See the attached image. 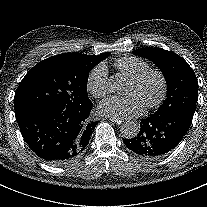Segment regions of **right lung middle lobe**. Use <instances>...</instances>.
I'll return each instance as SVG.
<instances>
[{
	"label": "right lung middle lobe",
	"instance_id": "obj_1",
	"mask_svg": "<svg viewBox=\"0 0 207 207\" xmlns=\"http://www.w3.org/2000/svg\"><path fill=\"white\" fill-rule=\"evenodd\" d=\"M92 68L53 56L36 64L20 82L14 97L16 118L48 107L73 111L91 104L87 81Z\"/></svg>",
	"mask_w": 207,
	"mask_h": 207
}]
</instances>
